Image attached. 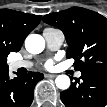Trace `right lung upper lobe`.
Instances as JSON below:
<instances>
[{
	"instance_id": "1",
	"label": "right lung upper lobe",
	"mask_w": 107,
	"mask_h": 107,
	"mask_svg": "<svg viewBox=\"0 0 107 107\" xmlns=\"http://www.w3.org/2000/svg\"><path fill=\"white\" fill-rule=\"evenodd\" d=\"M40 21V15L0 10V69L5 65L8 54L20 50L24 39Z\"/></svg>"
}]
</instances>
